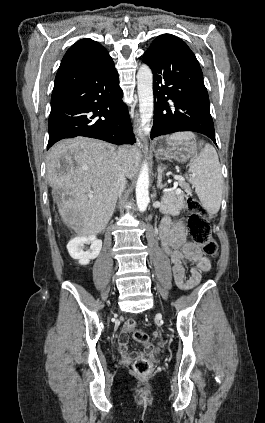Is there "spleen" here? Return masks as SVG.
<instances>
[{
  "instance_id": "3e777b00",
  "label": "spleen",
  "mask_w": 265,
  "mask_h": 423,
  "mask_svg": "<svg viewBox=\"0 0 265 423\" xmlns=\"http://www.w3.org/2000/svg\"><path fill=\"white\" fill-rule=\"evenodd\" d=\"M195 138L196 135L192 132H176L170 136V140L176 142ZM188 172L192 173L189 182L195 187L204 209L210 214L218 213L222 200L223 178L215 148L205 143L202 151L191 160Z\"/></svg>"
}]
</instances>
